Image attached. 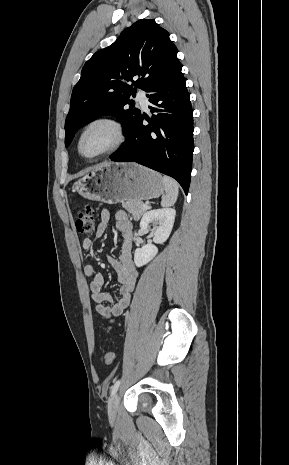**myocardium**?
Here are the masks:
<instances>
[{
	"instance_id": "myocardium-1",
	"label": "myocardium",
	"mask_w": 289,
	"mask_h": 465,
	"mask_svg": "<svg viewBox=\"0 0 289 465\" xmlns=\"http://www.w3.org/2000/svg\"><path fill=\"white\" fill-rule=\"evenodd\" d=\"M98 124H103V125H107L111 127L115 133V141L113 142L111 146H109L108 148L104 149L103 151L99 153H96L91 156L84 155L81 151V141L84 135L86 134V132L91 127L98 125ZM125 140H126L125 128L119 119L113 116H110V115H97V116L90 118L79 131V134L76 139V151H77V154L82 159L86 161H94L96 159H99L105 155H108L118 150L123 145Z\"/></svg>"
}]
</instances>
